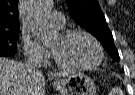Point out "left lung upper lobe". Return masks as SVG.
<instances>
[{
    "instance_id": "left-lung-upper-lobe-1",
    "label": "left lung upper lobe",
    "mask_w": 135,
    "mask_h": 95,
    "mask_svg": "<svg viewBox=\"0 0 135 95\" xmlns=\"http://www.w3.org/2000/svg\"><path fill=\"white\" fill-rule=\"evenodd\" d=\"M72 18L94 35L115 61L119 54L113 42V36L107 26L105 16L98 0H66Z\"/></svg>"
}]
</instances>
